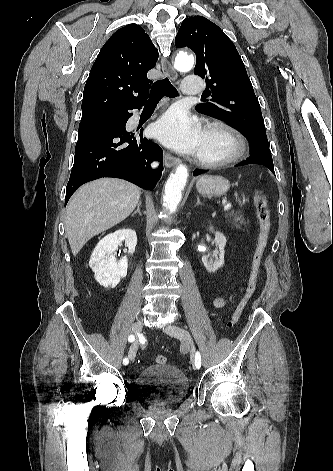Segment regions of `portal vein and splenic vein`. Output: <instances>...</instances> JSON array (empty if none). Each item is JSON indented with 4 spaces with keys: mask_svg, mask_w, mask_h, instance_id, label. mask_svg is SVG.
<instances>
[{
    "mask_svg": "<svg viewBox=\"0 0 333 471\" xmlns=\"http://www.w3.org/2000/svg\"><path fill=\"white\" fill-rule=\"evenodd\" d=\"M232 204L230 202H227L225 205H224V211H227L231 208Z\"/></svg>",
    "mask_w": 333,
    "mask_h": 471,
    "instance_id": "obj_1",
    "label": "portal vein and splenic vein"
}]
</instances>
